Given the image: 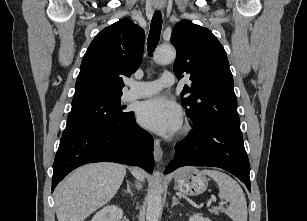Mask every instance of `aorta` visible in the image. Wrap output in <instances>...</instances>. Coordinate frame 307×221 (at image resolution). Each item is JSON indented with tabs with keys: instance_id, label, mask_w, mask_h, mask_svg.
<instances>
[{
	"instance_id": "aorta-1",
	"label": "aorta",
	"mask_w": 307,
	"mask_h": 221,
	"mask_svg": "<svg viewBox=\"0 0 307 221\" xmlns=\"http://www.w3.org/2000/svg\"><path fill=\"white\" fill-rule=\"evenodd\" d=\"M176 57V51L172 46H160L154 59L158 64L171 63ZM155 181L147 197L146 220L158 221L162 209V187L159 183V172H154Z\"/></svg>"
}]
</instances>
